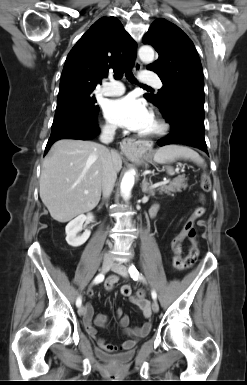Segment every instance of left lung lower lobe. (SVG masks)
I'll use <instances>...</instances> for the list:
<instances>
[{"label": "left lung lower lobe", "mask_w": 247, "mask_h": 385, "mask_svg": "<svg viewBox=\"0 0 247 385\" xmlns=\"http://www.w3.org/2000/svg\"><path fill=\"white\" fill-rule=\"evenodd\" d=\"M163 117L170 124L171 133L157 141L159 146L183 144L206 151L203 107L176 101Z\"/></svg>", "instance_id": "1"}]
</instances>
